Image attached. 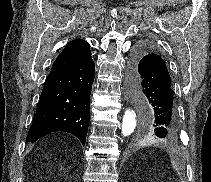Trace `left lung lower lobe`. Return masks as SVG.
<instances>
[{"mask_svg":"<svg viewBox=\"0 0 211 182\" xmlns=\"http://www.w3.org/2000/svg\"><path fill=\"white\" fill-rule=\"evenodd\" d=\"M128 92L132 101L152 112L150 135L174 139L179 132L172 80L161 53L149 42L136 44L128 69Z\"/></svg>","mask_w":211,"mask_h":182,"instance_id":"left-lung-lower-lobe-1","label":"left lung lower lobe"}]
</instances>
